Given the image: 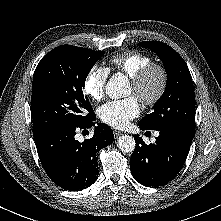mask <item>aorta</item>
Listing matches in <instances>:
<instances>
[{
  "label": "aorta",
  "instance_id": "762f6f07",
  "mask_svg": "<svg viewBox=\"0 0 221 221\" xmlns=\"http://www.w3.org/2000/svg\"><path fill=\"white\" fill-rule=\"evenodd\" d=\"M128 87L126 76L115 74L109 79L105 89L110 98L118 99L127 96ZM117 146L124 153L132 152L135 149V140L132 136L123 135L118 138Z\"/></svg>",
  "mask_w": 221,
  "mask_h": 221
}]
</instances>
